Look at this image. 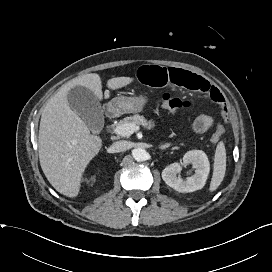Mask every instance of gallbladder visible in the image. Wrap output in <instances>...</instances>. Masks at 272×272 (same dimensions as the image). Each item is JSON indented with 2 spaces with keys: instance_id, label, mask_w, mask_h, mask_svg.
<instances>
[{
  "instance_id": "bac80fb5",
  "label": "gallbladder",
  "mask_w": 272,
  "mask_h": 272,
  "mask_svg": "<svg viewBox=\"0 0 272 272\" xmlns=\"http://www.w3.org/2000/svg\"><path fill=\"white\" fill-rule=\"evenodd\" d=\"M70 108L78 114L93 132H100L104 114L96 95L88 88L77 85L67 94Z\"/></svg>"
}]
</instances>
